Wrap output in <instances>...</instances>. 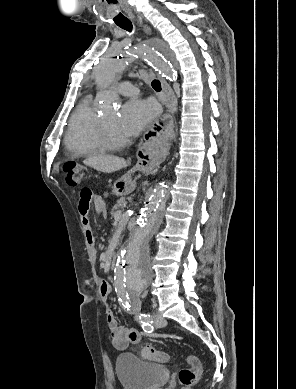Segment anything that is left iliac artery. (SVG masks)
I'll list each match as a JSON object with an SVG mask.
<instances>
[{
    "instance_id": "obj_1",
    "label": "left iliac artery",
    "mask_w": 296,
    "mask_h": 389,
    "mask_svg": "<svg viewBox=\"0 0 296 389\" xmlns=\"http://www.w3.org/2000/svg\"><path fill=\"white\" fill-rule=\"evenodd\" d=\"M131 312L132 313H138L139 312V308H135L134 307V308L131 309ZM138 317H139V320H140V322L142 324L141 325L142 329L145 332H147V333H151L153 331V326L151 325L152 322H153L152 316H150L149 314H139Z\"/></svg>"
}]
</instances>
